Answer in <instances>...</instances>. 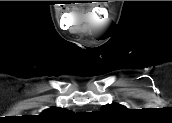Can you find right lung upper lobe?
Here are the masks:
<instances>
[{
  "label": "right lung upper lobe",
  "mask_w": 172,
  "mask_h": 123,
  "mask_svg": "<svg viewBox=\"0 0 172 123\" xmlns=\"http://www.w3.org/2000/svg\"><path fill=\"white\" fill-rule=\"evenodd\" d=\"M66 112L68 111L65 109L51 107L47 110H44L40 116L43 118L53 119L57 116L65 114Z\"/></svg>",
  "instance_id": "right-lung-upper-lobe-1"
}]
</instances>
